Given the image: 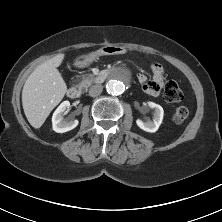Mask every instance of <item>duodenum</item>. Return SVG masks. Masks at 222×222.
<instances>
[{
  "label": "duodenum",
  "mask_w": 222,
  "mask_h": 222,
  "mask_svg": "<svg viewBox=\"0 0 222 222\" xmlns=\"http://www.w3.org/2000/svg\"><path fill=\"white\" fill-rule=\"evenodd\" d=\"M107 74L106 73H100L95 77V81L97 83H103L106 80ZM67 95L71 99H78L81 96V90L76 86H71L67 90Z\"/></svg>",
  "instance_id": "obj_1"
}]
</instances>
